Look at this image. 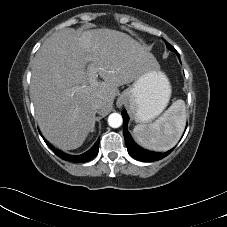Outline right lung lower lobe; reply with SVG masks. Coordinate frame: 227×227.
Listing matches in <instances>:
<instances>
[{
  "label": "right lung lower lobe",
  "mask_w": 227,
  "mask_h": 227,
  "mask_svg": "<svg viewBox=\"0 0 227 227\" xmlns=\"http://www.w3.org/2000/svg\"><path fill=\"white\" fill-rule=\"evenodd\" d=\"M44 141L57 156H59L61 159L66 161L77 162V163L86 162L91 160L93 157H95L98 154L99 139L91 149H89L87 152L81 155H69V154L63 153L59 150L54 149V147H52L45 139Z\"/></svg>",
  "instance_id": "1"
}]
</instances>
